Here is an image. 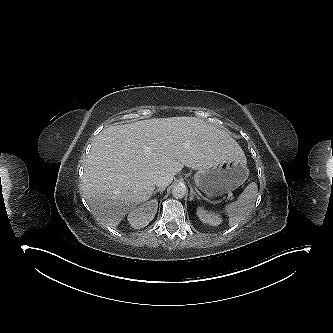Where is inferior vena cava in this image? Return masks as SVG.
<instances>
[{
    "label": "inferior vena cava",
    "instance_id": "1",
    "mask_svg": "<svg viewBox=\"0 0 333 333\" xmlns=\"http://www.w3.org/2000/svg\"><path fill=\"white\" fill-rule=\"evenodd\" d=\"M174 176L167 174V175H160L157 177L155 181V185L158 188H166L170 183L173 181Z\"/></svg>",
    "mask_w": 333,
    "mask_h": 333
}]
</instances>
